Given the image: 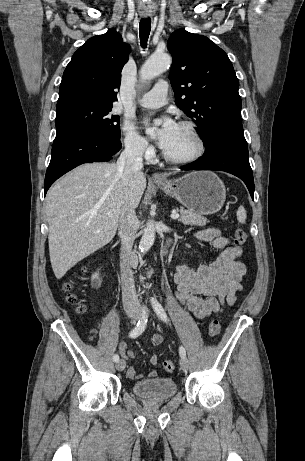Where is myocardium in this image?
<instances>
[{
  "instance_id": "f54148a6",
  "label": "myocardium",
  "mask_w": 305,
  "mask_h": 461,
  "mask_svg": "<svg viewBox=\"0 0 305 461\" xmlns=\"http://www.w3.org/2000/svg\"><path fill=\"white\" fill-rule=\"evenodd\" d=\"M178 125L188 130L196 142V149L192 154L186 157H173L163 151V157L167 162L172 164L184 165L193 163L203 156L205 152V141L193 122L181 121Z\"/></svg>"
}]
</instances>
